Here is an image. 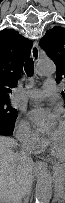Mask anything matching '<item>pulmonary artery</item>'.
I'll list each match as a JSON object with an SVG mask.
<instances>
[{"label":"pulmonary artery","instance_id":"1","mask_svg":"<svg viewBox=\"0 0 65 203\" xmlns=\"http://www.w3.org/2000/svg\"><path fill=\"white\" fill-rule=\"evenodd\" d=\"M58 89L53 80H47L41 89H31L26 91L25 96L29 99H42L51 96Z\"/></svg>","mask_w":65,"mask_h":203}]
</instances>
